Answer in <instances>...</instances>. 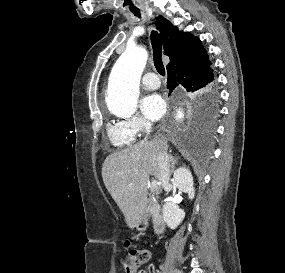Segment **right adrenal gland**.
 Here are the masks:
<instances>
[{"instance_id": "2a0ac1e0", "label": "right adrenal gland", "mask_w": 285, "mask_h": 273, "mask_svg": "<svg viewBox=\"0 0 285 273\" xmlns=\"http://www.w3.org/2000/svg\"><path fill=\"white\" fill-rule=\"evenodd\" d=\"M178 159L179 157L177 158H174L172 155H170V162H171V171H170V174L174 173V169H175V165L177 164L178 162Z\"/></svg>"}]
</instances>
